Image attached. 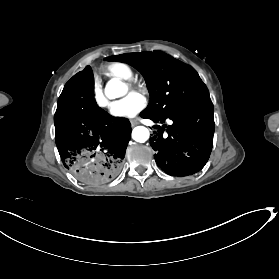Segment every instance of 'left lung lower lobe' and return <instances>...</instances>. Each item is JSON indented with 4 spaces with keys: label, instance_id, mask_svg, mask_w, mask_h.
<instances>
[{
    "label": "left lung lower lobe",
    "instance_id": "1",
    "mask_svg": "<svg viewBox=\"0 0 279 279\" xmlns=\"http://www.w3.org/2000/svg\"><path fill=\"white\" fill-rule=\"evenodd\" d=\"M213 112L211 100L206 99L164 118L141 113V117L155 123H164L167 118L173 121L169 126L155 125L158 132L150 138V144L156 151L155 161L165 173L187 176L204 167L213 145Z\"/></svg>",
    "mask_w": 279,
    "mask_h": 279
}]
</instances>
